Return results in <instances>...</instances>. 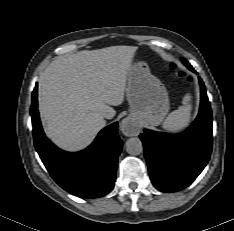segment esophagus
<instances>
[{
  "instance_id": "obj_1",
  "label": "esophagus",
  "mask_w": 234,
  "mask_h": 231,
  "mask_svg": "<svg viewBox=\"0 0 234 231\" xmlns=\"http://www.w3.org/2000/svg\"><path fill=\"white\" fill-rule=\"evenodd\" d=\"M124 128H126V133H129V134H132L135 132V128H136V125L133 123L132 120L130 119H127L125 122H124Z\"/></svg>"
}]
</instances>
